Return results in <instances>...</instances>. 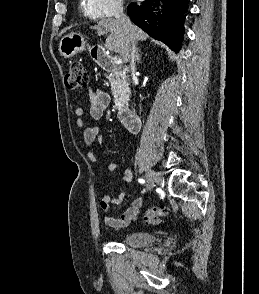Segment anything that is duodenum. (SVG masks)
Returning a JSON list of instances; mask_svg holds the SVG:
<instances>
[{"instance_id":"duodenum-1","label":"duodenum","mask_w":259,"mask_h":294,"mask_svg":"<svg viewBox=\"0 0 259 294\" xmlns=\"http://www.w3.org/2000/svg\"><path fill=\"white\" fill-rule=\"evenodd\" d=\"M97 62L106 70H116V66L113 64L109 56L104 52H99L95 56ZM120 122L125 125L131 131H138L141 127V120L139 116L132 110L127 108H121L118 112Z\"/></svg>"}]
</instances>
